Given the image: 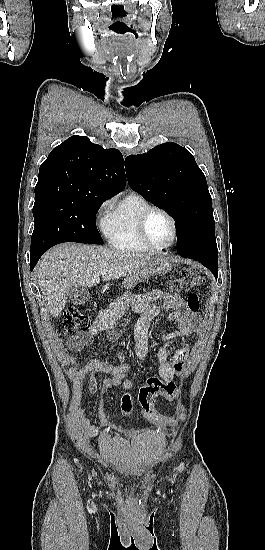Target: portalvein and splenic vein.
Returning <instances> with one entry per match:
<instances>
[{
    "instance_id": "portal-vein-and-splenic-vein-1",
    "label": "portal vein and splenic vein",
    "mask_w": 265,
    "mask_h": 550,
    "mask_svg": "<svg viewBox=\"0 0 265 550\" xmlns=\"http://www.w3.org/2000/svg\"><path fill=\"white\" fill-rule=\"evenodd\" d=\"M100 274H101V275H105V274H106V272H103V271H102V272H101Z\"/></svg>"
}]
</instances>
